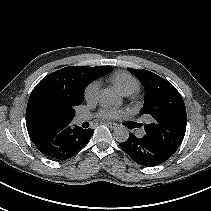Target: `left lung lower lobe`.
I'll use <instances>...</instances> for the list:
<instances>
[{
  "label": "left lung lower lobe",
  "mask_w": 211,
  "mask_h": 211,
  "mask_svg": "<svg viewBox=\"0 0 211 211\" xmlns=\"http://www.w3.org/2000/svg\"><path fill=\"white\" fill-rule=\"evenodd\" d=\"M120 146L133 161L147 167L157 166L173 155L146 135L137 138L133 133H130L128 140L120 143Z\"/></svg>",
  "instance_id": "1"
}]
</instances>
